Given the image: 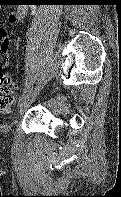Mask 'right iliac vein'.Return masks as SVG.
<instances>
[{
    "instance_id": "1",
    "label": "right iliac vein",
    "mask_w": 121,
    "mask_h": 197,
    "mask_svg": "<svg viewBox=\"0 0 121 197\" xmlns=\"http://www.w3.org/2000/svg\"><path fill=\"white\" fill-rule=\"evenodd\" d=\"M41 86H37L32 93L28 95V97L20 104L19 114H23L25 110L32 104V102L36 99L39 92L41 91Z\"/></svg>"
}]
</instances>
